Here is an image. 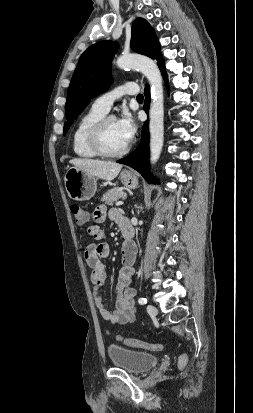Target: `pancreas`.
<instances>
[{
  "label": "pancreas",
  "instance_id": "cf45deb5",
  "mask_svg": "<svg viewBox=\"0 0 253 413\" xmlns=\"http://www.w3.org/2000/svg\"><path fill=\"white\" fill-rule=\"evenodd\" d=\"M126 193L123 192L122 188L115 187L110 190H108L103 196H102V201L105 202L108 205H112L113 202L118 200L119 198H125Z\"/></svg>",
  "mask_w": 253,
  "mask_h": 413
}]
</instances>
